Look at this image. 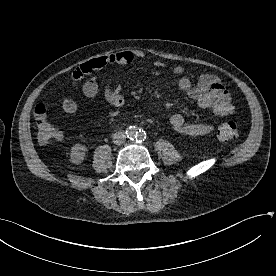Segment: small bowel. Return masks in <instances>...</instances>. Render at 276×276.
I'll use <instances>...</instances> for the list:
<instances>
[{"label": "small bowel", "instance_id": "obj_1", "mask_svg": "<svg viewBox=\"0 0 276 276\" xmlns=\"http://www.w3.org/2000/svg\"><path fill=\"white\" fill-rule=\"evenodd\" d=\"M145 57V53L141 50H128L110 53L84 62L77 66L73 72L72 77L75 89L78 90V82L86 78L81 88L82 93L88 99H95L99 93L95 73L103 68L111 67L109 74L104 80V96L111 106L121 107L124 99L120 88H113L111 85L114 68L131 65L136 60L144 59ZM154 65L156 67H163L164 63L155 61ZM173 72L175 74H182L184 68L176 66ZM178 87L193 99L200 108L211 109L218 116H227L234 111L230 93L221 79L216 75L204 74L196 82L182 77L178 81ZM169 122L174 130L189 136H203L214 130L212 124L186 123L184 116L180 113L173 114Z\"/></svg>", "mask_w": 276, "mask_h": 276}]
</instances>
